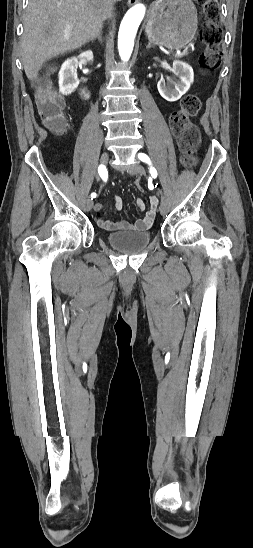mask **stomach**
Returning a JSON list of instances; mask_svg holds the SVG:
<instances>
[{"mask_svg":"<svg viewBox=\"0 0 253 548\" xmlns=\"http://www.w3.org/2000/svg\"><path fill=\"white\" fill-rule=\"evenodd\" d=\"M197 10L191 0H158L146 24L148 39L169 49L190 43L197 30Z\"/></svg>","mask_w":253,"mask_h":548,"instance_id":"stomach-1","label":"stomach"}]
</instances>
